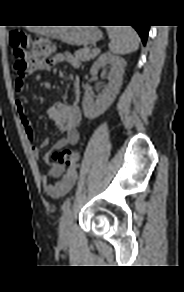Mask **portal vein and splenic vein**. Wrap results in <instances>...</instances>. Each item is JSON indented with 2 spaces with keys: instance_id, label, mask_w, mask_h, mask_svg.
<instances>
[{
  "instance_id": "obj_1",
  "label": "portal vein and splenic vein",
  "mask_w": 184,
  "mask_h": 292,
  "mask_svg": "<svg viewBox=\"0 0 184 292\" xmlns=\"http://www.w3.org/2000/svg\"><path fill=\"white\" fill-rule=\"evenodd\" d=\"M96 51H99V52H100V50H99V49H94V52H96Z\"/></svg>"
}]
</instances>
